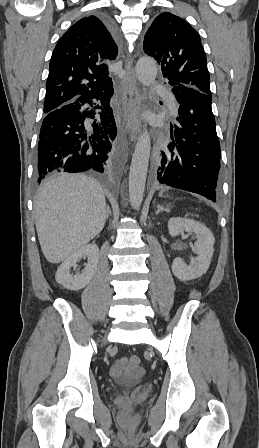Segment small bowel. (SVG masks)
Returning a JSON list of instances; mask_svg holds the SVG:
<instances>
[{"mask_svg": "<svg viewBox=\"0 0 259 448\" xmlns=\"http://www.w3.org/2000/svg\"><path fill=\"white\" fill-rule=\"evenodd\" d=\"M143 369L129 366L127 358L116 361L110 370V374L115 378H137L143 374Z\"/></svg>", "mask_w": 259, "mask_h": 448, "instance_id": "c3829d8e", "label": "small bowel"}]
</instances>
